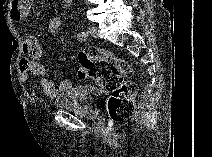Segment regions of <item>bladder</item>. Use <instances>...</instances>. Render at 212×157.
<instances>
[{"mask_svg":"<svg viewBox=\"0 0 212 157\" xmlns=\"http://www.w3.org/2000/svg\"><path fill=\"white\" fill-rule=\"evenodd\" d=\"M104 98V92L95 86H79L64 93L57 101L56 107L73 110L90 120L100 116L99 103Z\"/></svg>","mask_w":212,"mask_h":157,"instance_id":"obj_1","label":"bladder"}]
</instances>
